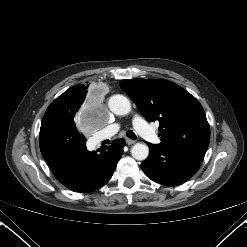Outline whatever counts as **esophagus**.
<instances>
[{
    "mask_svg": "<svg viewBox=\"0 0 247 247\" xmlns=\"http://www.w3.org/2000/svg\"><path fill=\"white\" fill-rule=\"evenodd\" d=\"M126 143H127L128 145H132V144L135 143V141L132 140V139L126 138Z\"/></svg>",
    "mask_w": 247,
    "mask_h": 247,
    "instance_id": "1",
    "label": "esophagus"
}]
</instances>
